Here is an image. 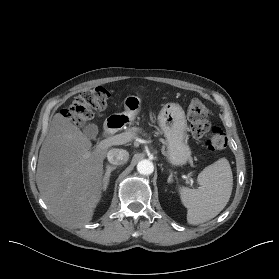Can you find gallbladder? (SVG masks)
<instances>
[{
	"instance_id": "gallbladder-1",
	"label": "gallbladder",
	"mask_w": 279,
	"mask_h": 279,
	"mask_svg": "<svg viewBox=\"0 0 279 279\" xmlns=\"http://www.w3.org/2000/svg\"><path fill=\"white\" fill-rule=\"evenodd\" d=\"M84 134L89 138H94L98 134V128L95 124H88L83 130Z\"/></svg>"
}]
</instances>
